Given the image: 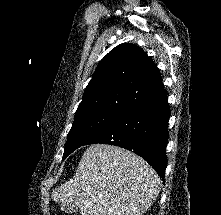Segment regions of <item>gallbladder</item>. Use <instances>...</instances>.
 <instances>
[{"instance_id":"gallbladder-1","label":"gallbladder","mask_w":221,"mask_h":215,"mask_svg":"<svg viewBox=\"0 0 221 215\" xmlns=\"http://www.w3.org/2000/svg\"><path fill=\"white\" fill-rule=\"evenodd\" d=\"M61 210L68 213L72 214L75 213L79 210L78 205L73 201V202H68V203H63L61 205Z\"/></svg>"}]
</instances>
